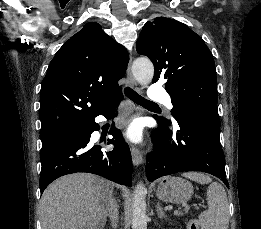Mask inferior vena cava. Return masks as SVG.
<instances>
[{"label":"inferior vena cava","instance_id":"inferior-vena-cava-1","mask_svg":"<svg viewBox=\"0 0 261 229\" xmlns=\"http://www.w3.org/2000/svg\"><path fill=\"white\" fill-rule=\"evenodd\" d=\"M108 217H110L112 229H117V223L119 221V211L115 199H110Z\"/></svg>","mask_w":261,"mask_h":229}]
</instances>
